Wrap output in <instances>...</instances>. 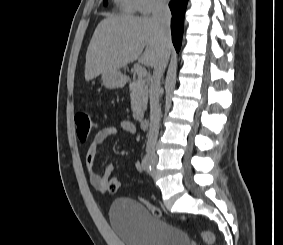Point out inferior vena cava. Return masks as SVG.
Wrapping results in <instances>:
<instances>
[{
	"label": "inferior vena cava",
	"instance_id": "1",
	"mask_svg": "<svg viewBox=\"0 0 283 245\" xmlns=\"http://www.w3.org/2000/svg\"><path fill=\"white\" fill-rule=\"evenodd\" d=\"M152 19L155 21L161 31L162 45L164 48L163 56L160 62L154 67L153 76L150 83V130L148 134L146 152L148 157L156 159L155 146L157 143L159 125L161 119V107L159 104L160 81L166 69L169 60V53L165 50L171 43L170 21L171 12L168 5L163 0H156L153 3Z\"/></svg>",
	"mask_w": 283,
	"mask_h": 245
}]
</instances>
